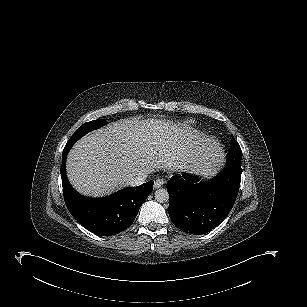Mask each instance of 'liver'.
<instances>
[{
	"instance_id": "6515ba94",
	"label": "liver",
	"mask_w": 307,
	"mask_h": 307,
	"mask_svg": "<svg viewBox=\"0 0 307 307\" xmlns=\"http://www.w3.org/2000/svg\"><path fill=\"white\" fill-rule=\"evenodd\" d=\"M199 139L158 121L122 119L75 143L67 157V176L79 193L100 197L129 186L140 173L170 166L175 157L195 173L215 171L214 148Z\"/></svg>"
}]
</instances>
